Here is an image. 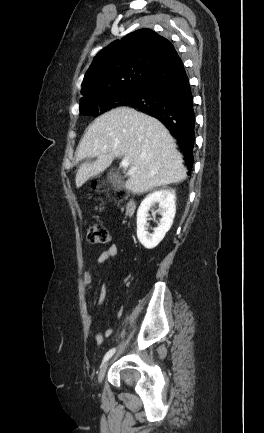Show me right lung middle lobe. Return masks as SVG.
<instances>
[{
    "mask_svg": "<svg viewBox=\"0 0 264 433\" xmlns=\"http://www.w3.org/2000/svg\"><path fill=\"white\" fill-rule=\"evenodd\" d=\"M140 85L126 86L105 95L80 100V113L83 115H98L118 106L136 96Z\"/></svg>",
    "mask_w": 264,
    "mask_h": 433,
    "instance_id": "dd1d6c3e",
    "label": "right lung middle lobe"
}]
</instances>
